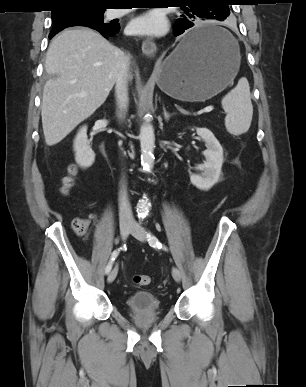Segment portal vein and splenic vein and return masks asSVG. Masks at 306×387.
<instances>
[{"mask_svg":"<svg viewBox=\"0 0 306 387\" xmlns=\"http://www.w3.org/2000/svg\"><path fill=\"white\" fill-rule=\"evenodd\" d=\"M82 95H84V94H82ZM213 109H214L213 106L210 105V106L205 107V108L203 109V112L208 113V112H211Z\"/></svg>","mask_w":306,"mask_h":387,"instance_id":"1","label":"portal vein and splenic vein"}]
</instances>
